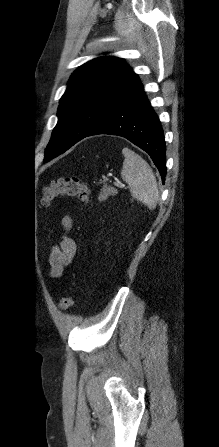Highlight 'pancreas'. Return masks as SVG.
Here are the masks:
<instances>
[{"label": "pancreas", "mask_w": 219, "mask_h": 447, "mask_svg": "<svg viewBox=\"0 0 219 447\" xmlns=\"http://www.w3.org/2000/svg\"><path fill=\"white\" fill-rule=\"evenodd\" d=\"M117 194V190L111 186L104 185L99 194L98 200L105 201L109 196H115Z\"/></svg>", "instance_id": "cf45deb5"}]
</instances>
